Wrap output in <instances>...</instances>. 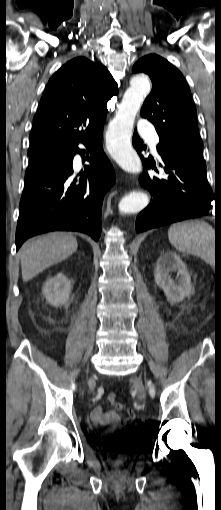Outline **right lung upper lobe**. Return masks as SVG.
<instances>
[{
  "instance_id": "obj_1",
  "label": "right lung upper lobe",
  "mask_w": 221,
  "mask_h": 510,
  "mask_svg": "<svg viewBox=\"0 0 221 510\" xmlns=\"http://www.w3.org/2000/svg\"><path fill=\"white\" fill-rule=\"evenodd\" d=\"M117 92V83L102 64L85 57L67 62L46 86L28 152L66 149L93 133L104 124L106 104Z\"/></svg>"
}]
</instances>
